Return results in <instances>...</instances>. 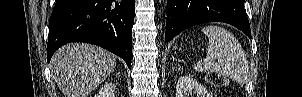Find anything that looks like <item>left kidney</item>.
Instances as JSON below:
<instances>
[{"mask_svg":"<svg viewBox=\"0 0 302 97\" xmlns=\"http://www.w3.org/2000/svg\"><path fill=\"white\" fill-rule=\"evenodd\" d=\"M176 97H212V95L191 76H182L176 85Z\"/></svg>","mask_w":302,"mask_h":97,"instance_id":"1","label":"left kidney"}]
</instances>
